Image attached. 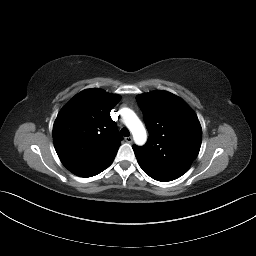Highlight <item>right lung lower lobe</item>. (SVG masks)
Masks as SVG:
<instances>
[{
  "label": "right lung lower lobe",
  "instance_id": "98d812e1",
  "mask_svg": "<svg viewBox=\"0 0 256 256\" xmlns=\"http://www.w3.org/2000/svg\"><path fill=\"white\" fill-rule=\"evenodd\" d=\"M110 164H111V162L108 163V164H105V165H103V166H100V167H98V168L84 171V172L79 173V174H77V175H78V176H81V177H91V176L97 175V174H99L100 172H102L103 170H105L108 166H110Z\"/></svg>",
  "mask_w": 256,
  "mask_h": 256
}]
</instances>
